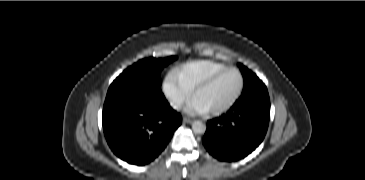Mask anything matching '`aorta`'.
Returning <instances> with one entry per match:
<instances>
[{"label": "aorta", "mask_w": 365, "mask_h": 180, "mask_svg": "<svg viewBox=\"0 0 365 180\" xmlns=\"http://www.w3.org/2000/svg\"><path fill=\"white\" fill-rule=\"evenodd\" d=\"M192 130L195 134H203L206 131V125L201 121H194L192 123Z\"/></svg>", "instance_id": "762f6f07"}]
</instances>
